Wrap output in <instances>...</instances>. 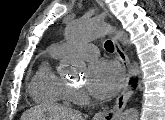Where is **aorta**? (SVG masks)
I'll return each mask as SVG.
<instances>
[{
    "mask_svg": "<svg viewBox=\"0 0 165 120\" xmlns=\"http://www.w3.org/2000/svg\"><path fill=\"white\" fill-rule=\"evenodd\" d=\"M113 28L102 20H74L68 23L67 34L71 41H80L86 39H95L106 35ZM120 39L124 44H128V39L123 32H118ZM67 70L82 69L83 63L77 61H68L65 63ZM139 111L135 108L126 110L120 117V120H138Z\"/></svg>",
    "mask_w": 165,
    "mask_h": 120,
    "instance_id": "1",
    "label": "aorta"
}]
</instances>
